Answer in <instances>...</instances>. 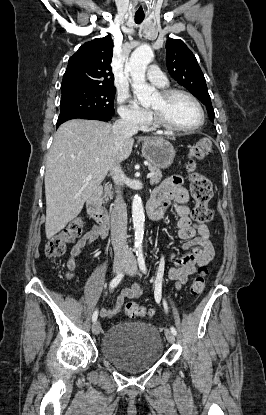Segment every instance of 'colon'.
<instances>
[{
  "label": "colon",
  "mask_w": 266,
  "mask_h": 415,
  "mask_svg": "<svg viewBox=\"0 0 266 415\" xmlns=\"http://www.w3.org/2000/svg\"><path fill=\"white\" fill-rule=\"evenodd\" d=\"M212 150L213 146L210 139L202 138L198 140L190 149L187 163L190 172V191L195 201V206L192 210V218L199 225H206L213 218V213L208 206L213 195V189L210 180L196 170L197 162L209 156L212 153ZM82 230L83 221L81 218H75L70 221L62 231L46 243V256L50 258L62 256L65 253L68 244L79 237ZM205 276V268H200L197 276L190 285L191 294L198 295L202 293L205 288ZM125 311L130 317H141L151 314V311L135 302L126 303Z\"/></svg>",
  "instance_id": "1"
}]
</instances>
